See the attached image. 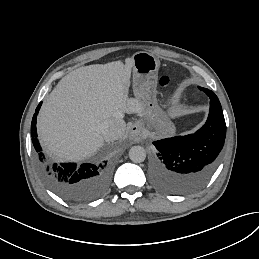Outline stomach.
<instances>
[{"label":"stomach","mask_w":259,"mask_h":259,"mask_svg":"<svg viewBox=\"0 0 259 259\" xmlns=\"http://www.w3.org/2000/svg\"><path fill=\"white\" fill-rule=\"evenodd\" d=\"M133 72L137 75L152 76L158 73L159 59L148 52H137L133 55Z\"/></svg>","instance_id":"obj_1"}]
</instances>
